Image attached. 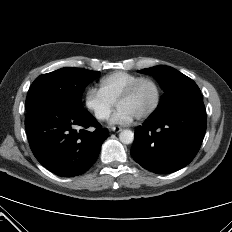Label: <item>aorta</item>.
<instances>
[{"mask_svg":"<svg viewBox=\"0 0 232 232\" xmlns=\"http://www.w3.org/2000/svg\"><path fill=\"white\" fill-rule=\"evenodd\" d=\"M119 139L123 144H131L134 140V133L131 130L125 129L120 132Z\"/></svg>","mask_w":232,"mask_h":232,"instance_id":"1","label":"aorta"}]
</instances>
